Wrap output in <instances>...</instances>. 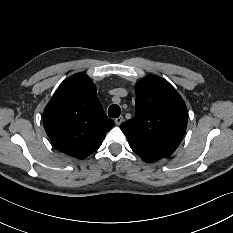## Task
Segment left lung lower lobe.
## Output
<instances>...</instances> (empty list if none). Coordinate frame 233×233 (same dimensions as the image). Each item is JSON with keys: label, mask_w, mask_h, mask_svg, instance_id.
I'll return each instance as SVG.
<instances>
[{"label": "left lung lower lobe", "mask_w": 233, "mask_h": 233, "mask_svg": "<svg viewBox=\"0 0 233 233\" xmlns=\"http://www.w3.org/2000/svg\"><path fill=\"white\" fill-rule=\"evenodd\" d=\"M140 157L146 162H155V161H157L154 158H151V157H148V156H140Z\"/></svg>", "instance_id": "obj_1"}]
</instances>
